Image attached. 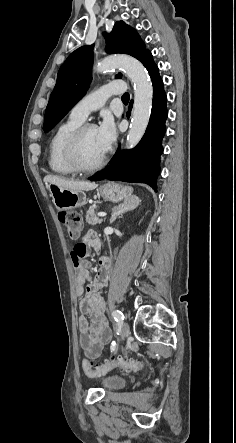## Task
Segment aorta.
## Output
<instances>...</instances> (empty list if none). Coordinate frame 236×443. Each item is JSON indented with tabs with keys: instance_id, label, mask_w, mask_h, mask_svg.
Returning a JSON list of instances; mask_svg holds the SVG:
<instances>
[{
	"instance_id": "1",
	"label": "aorta",
	"mask_w": 236,
	"mask_h": 443,
	"mask_svg": "<svg viewBox=\"0 0 236 443\" xmlns=\"http://www.w3.org/2000/svg\"><path fill=\"white\" fill-rule=\"evenodd\" d=\"M113 68H123L134 83V106L127 135V147L131 149L139 143L146 131L152 109L153 88L146 69L137 59L127 55L109 56L95 70L105 73Z\"/></svg>"
}]
</instances>
